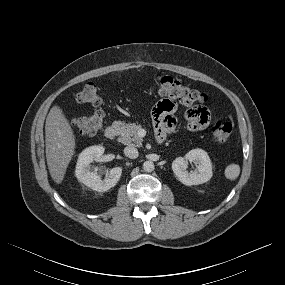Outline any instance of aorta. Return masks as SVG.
Instances as JSON below:
<instances>
[{
	"label": "aorta",
	"mask_w": 285,
	"mask_h": 285,
	"mask_svg": "<svg viewBox=\"0 0 285 285\" xmlns=\"http://www.w3.org/2000/svg\"><path fill=\"white\" fill-rule=\"evenodd\" d=\"M155 166L154 163L152 161H145L143 163V170L145 172H152L154 170Z\"/></svg>",
	"instance_id": "1"
}]
</instances>
